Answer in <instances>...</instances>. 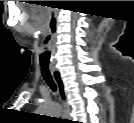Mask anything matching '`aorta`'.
Here are the masks:
<instances>
[{"label": "aorta", "mask_w": 134, "mask_h": 123, "mask_svg": "<svg viewBox=\"0 0 134 123\" xmlns=\"http://www.w3.org/2000/svg\"><path fill=\"white\" fill-rule=\"evenodd\" d=\"M40 112L46 114L47 116L55 117L60 115L61 109L56 103L48 102V103H43L40 106Z\"/></svg>", "instance_id": "obj_1"}]
</instances>
